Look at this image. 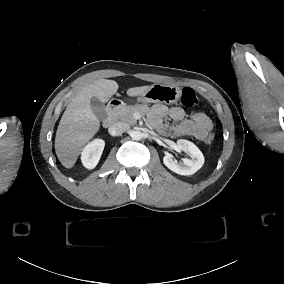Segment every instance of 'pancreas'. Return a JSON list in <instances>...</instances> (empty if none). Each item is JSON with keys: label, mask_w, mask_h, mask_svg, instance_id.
Segmentation results:
<instances>
[{"label": "pancreas", "mask_w": 284, "mask_h": 284, "mask_svg": "<svg viewBox=\"0 0 284 284\" xmlns=\"http://www.w3.org/2000/svg\"><path fill=\"white\" fill-rule=\"evenodd\" d=\"M149 111L150 107L147 104L126 106L118 112V118L129 125H136L137 121L133 118V114L139 113L141 116H145Z\"/></svg>", "instance_id": "obj_1"}]
</instances>
